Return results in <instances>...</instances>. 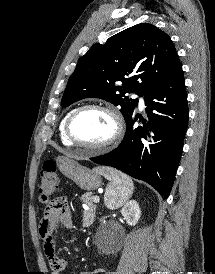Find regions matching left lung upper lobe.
I'll return each mask as SVG.
<instances>
[{
  "instance_id": "left-lung-upper-lobe-1",
  "label": "left lung upper lobe",
  "mask_w": 215,
  "mask_h": 274,
  "mask_svg": "<svg viewBox=\"0 0 215 274\" xmlns=\"http://www.w3.org/2000/svg\"><path fill=\"white\" fill-rule=\"evenodd\" d=\"M181 66L174 44L165 32L152 24H137L110 37L105 44H94L78 60L61 105L100 98L121 106L126 120L138 103V99L126 97V93L143 96Z\"/></svg>"
}]
</instances>
